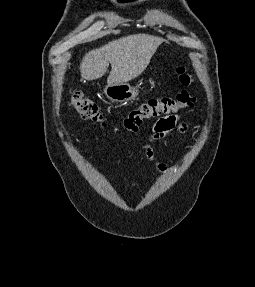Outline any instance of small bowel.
I'll use <instances>...</instances> for the list:
<instances>
[{
	"instance_id": "obj_1",
	"label": "small bowel",
	"mask_w": 255,
	"mask_h": 287,
	"mask_svg": "<svg viewBox=\"0 0 255 287\" xmlns=\"http://www.w3.org/2000/svg\"><path fill=\"white\" fill-rule=\"evenodd\" d=\"M175 129L179 132L186 131V125L180 121V118L177 115H167L165 117H162L158 119L153 125L152 135L145 146V156L146 159L153 165V167L158 172H167L169 168L165 164L156 161L152 149V144L155 141L161 140L169 136L171 132Z\"/></svg>"
}]
</instances>
